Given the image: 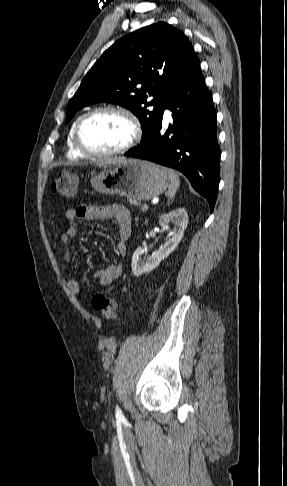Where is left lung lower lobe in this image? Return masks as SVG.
Returning <instances> with one entry per match:
<instances>
[{
  "label": "left lung lower lobe",
  "mask_w": 287,
  "mask_h": 486,
  "mask_svg": "<svg viewBox=\"0 0 287 486\" xmlns=\"http://www.w3.org/2000/svg\"><path fill=\"white\" fill-rule=\"evenodd\" d=\"M166 108L172 112L173 125L164 133L161 123ZM124 156L179 170L208 200L213 211L220 181V148L216 111L200 63L169 88L159 119L139 147L130 149Z\"/></svg>",
  "instance_id": "1"
}]
</instances>
